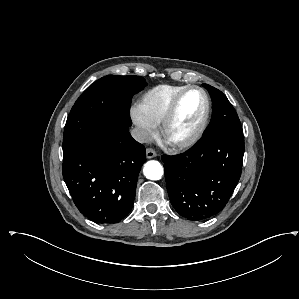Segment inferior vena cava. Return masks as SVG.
<instances>
[{
    "label": "inferior vena cava",
    "mask_w": 299,
    "mask_h": 299,
    "mask_svg": "<svg viewBox=\"0 0 299 299\" xmlns=\"http://www.w3.org/2000/svg\"><path fill=\"white\" fill-rule=\"evenodd\" d=\"M131 135L139 143H150L152 140L150 134L146 130L140 128L132 129Z\"/></svg>",
    "instance_id": "inferior-vena-cava-1"
}]
</instances>
